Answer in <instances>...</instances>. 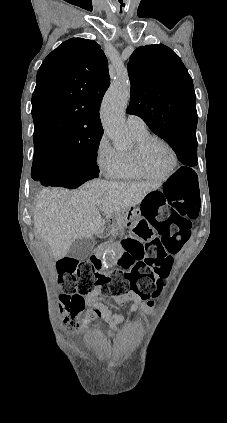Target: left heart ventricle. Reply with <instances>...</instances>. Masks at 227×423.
<instances>
[{"label":"left heart ventricle","mask_w":227,"mask_h":423,"mask_svg":"<svg viewBox=\"0 0 227 423\" xmlns=\"http://www.w3.org/2000/svg\"><path fill=\"white\" fill-rule=\"evenodd\" d=\"M144 162L151 173L163 174L170 167L171 154L164 145L154 142L145 151Z\"/></svg>","instance_id":"b2bd125f"}]
</instances>
